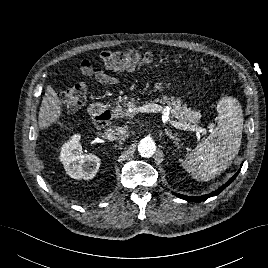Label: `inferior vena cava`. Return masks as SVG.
<instances>
[{"instance_id":"inferior-vena-cava-1","label":"inferior vena cava","mask_w":268,"mask_h":268,"mask_svg":"<svg viewBox=\"0 0 268 268\" xmlns=\"http://www.w3.org/2000/svg\"><path fill=\"white\" fill-rule=\"evenodd\" d=\"M125 134V129L119 126H110L104 132L108 140H119Z\"/></svg>"}]
</instances>
